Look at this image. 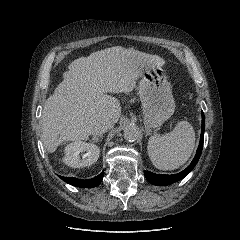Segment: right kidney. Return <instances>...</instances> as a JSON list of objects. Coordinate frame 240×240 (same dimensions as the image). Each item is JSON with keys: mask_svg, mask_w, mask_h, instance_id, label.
Here are the masks:
<instances>
[{"mask_svg": "<svg viewBox=\"0 0 240 240\" xmlns=\"http://www.w3.org/2000/svg\"><path fill=\"white\" fill-rule=\"evenodd\" d=\"M81 153H84L82 159L80 158ZM99 154L98 146L83 141H75L65 147L63 162L72 168L89 167L98 160Z\"/></svg>", "mask_w": 240, "mask_h": 240, "instance_id": "1", "label": "right kidney"}]
</instances>
